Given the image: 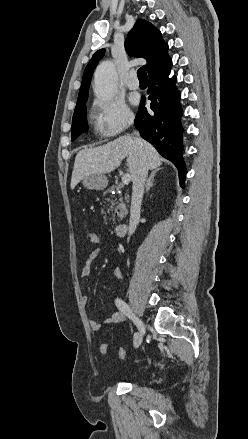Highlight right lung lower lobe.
I'll use <instances>...</instances> for the list:
<instances>
[{
    "label": "right lung lower lobe",
    "mask_w": 248,
    "mask_h": 439,
    "mask_svg": "<svg viewBox=\"0 0 248 439\" xmlns=\"http://www.w3.org/2000/svg\"><path fill=\"white\" fill-rule=\"evenodd\" d=\"M171 66L172 62L149 73L147 93L151 107L147 109L142 101L134 123L142 138L177 167L180 183L184 186L186 169L182 157V109L180 92L174 84L176 78L168 77Z\"/></svg>",
    "instance_id": "98d812e1"
}]
</instances>
